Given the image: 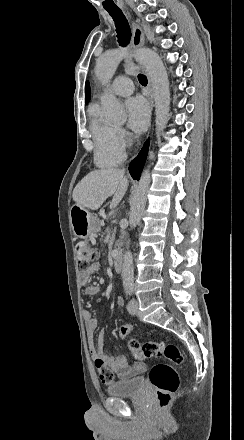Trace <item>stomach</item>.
Wrapping results in <instances>:
<instances>
[{
    "mask_svg": "<svg viewBox=\"0 0 244 440\" xmlns=\"http://www.w3.org/2000/svg\"><path fill=\"white\" fill-rule=\"evenodd\" d=\"M69 220L72 228V232L76 238L80 240H86L91 234L100 232L99 222L86 208H82L79 204H74L70 208Z\"/></svg>",
    "mask_w": 244,
    "mask_h": 440,
    "instance_id": "stomach-1",
    "label": "stomach"
}]
</instances>
